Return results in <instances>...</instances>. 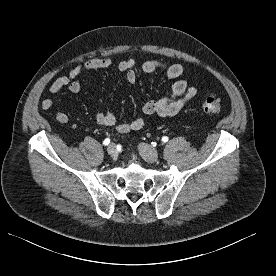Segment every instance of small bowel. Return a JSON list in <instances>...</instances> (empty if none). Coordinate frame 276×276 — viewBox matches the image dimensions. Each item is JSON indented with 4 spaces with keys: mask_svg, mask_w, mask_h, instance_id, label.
<instances>
[{
    "mask_svg": "<svg viewBox=\"0 0 276 276\" xmlns=\"http://www.w3.org/2000/svg\"><path fill=\"white\" fill-rule=\"evenodd\" d=\"M113 61L109 56H103L101 58H95L85 63L86 69L97 70L108 68L112 65ZM136 60L134 58H128L122 60L118 64V69L125 73L126 81L130 84L135 83L137 79V72L135 70ZM142 69L146 73H151L156 70H163L167 76L171 79L179 78L183 73V67L180 64L168 65L166 62L161 60H148L142 65ZM82 72V66L76 65L70 72V78L78 76ZM68 77H60L56 79L49 87L51 94L59 93L64 87H68L69 91L73 94H77L81 90L79 82L70 81ZM172 94L175 96L172 100H151L144 104L142 110L147 115L156 114L162 117H172L178 114L184 105L192 100L196 94L197 89L193 86H189L187 81L179 79L172 85ZM52 107V102L49 99H45L41 102L40 108L42 110H48ZM55 118L59 123H67L69 120L68 114L58 109L55 113ZM95 120L98 124L113 127L116 126V117L111 113H105L98 111L95 113ZM145 120L142 117H135L134 119L119 124L116 126L119 132L125 133L129 131L140 130L144 127Z\"/></svg>",
    "mask_w": 276,
    "mask_h": 276,
    "instance_id": "obj_1",
    "label": "small bowel"
}]
</instances>
